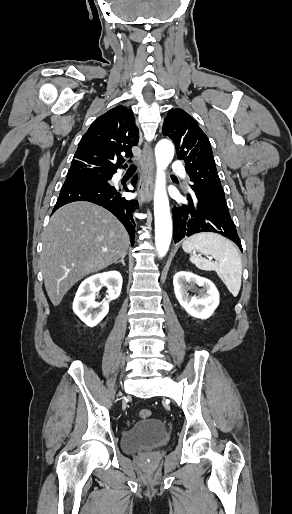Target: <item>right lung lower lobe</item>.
<instances>
[{
  "instance_id": "1",
  "label": "right lung lower lobe",
  "mask_w": 292,
  "mask_h": 514,
  "mask_svg": "<svg viewBox=\"0 0 292 514\" xmlns=\"http://www.w3.org/2000/svg\"><path fill=\"white\" fill-rule=\"evenodd\" d=\"M113 176V175H112ZM94 178L88 176H69L66 178L59 198L53 209L55 212L61 206L74 201H89L100 205L113 213L125 226L133 245L135 223L132 212L138 208L136 200H128L122 196V191L131 192L128 188L112 186L108 181L112 178ZM137 176L132 179L135 186Z\"/></svg>"
}]
</instances>
